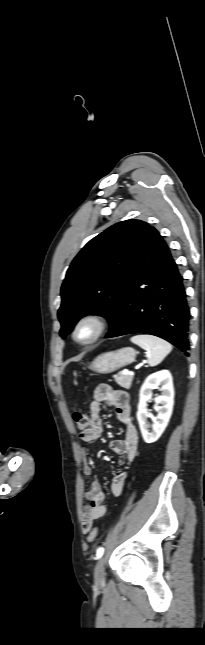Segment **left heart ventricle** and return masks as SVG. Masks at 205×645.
Segmentation results:
<instances>
[{
  "instance_id": "left-heart-ventricle-1",
  "label": "left heart ventricle",
  "mask_w": 205,
  "mask_h": 645,
  "mask_svg": "<svg viewBox=\"0 0 205 645\" xmlns=\"http://www.w3.org/2000/svg\"><path fill=\"white\" fill-rule=\"evenodd\" d=\"M91 332V329L89 327H85L81 330L80 335L81 337H87Z\"/></svg>"
}]
</instances>
